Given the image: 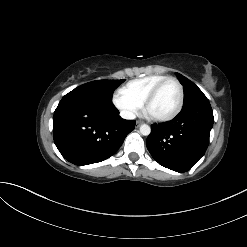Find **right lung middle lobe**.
<instances>
[{
  "instance_id": "1",
  "label": "right lung middle lobe",
  "mask_w": 247,
  "mask_h": 247,
  "mask_svg": "<svg viewBox=\"0 0 247 247\" xmlns=\"http://www.w3.org/2000/svg\"><path fill=\"white\" fill-rule=\"evenodd\" d=\"M125 80H96L78 86L67 95L112 102L113 91Z\"/></svg>"
}]
</instances>
